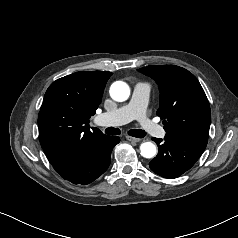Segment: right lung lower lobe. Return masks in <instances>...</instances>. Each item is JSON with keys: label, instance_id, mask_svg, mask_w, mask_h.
Returning <instances> with one entry per match:
<instances>
[{"label": "right lung lower lobe", "instance_id": "98d812e1", "mask_svg": "<svg viewBox=\"0 0 238 238\" xmlns=\"http://www.w3.org/2000/svg\"><path fill=\"white\" fill-rule=\"evenodd\" d=\"M119 141L117 136H95L83 143L69 159L53 167L62 178L73 184H89L107 170L111 151Z\"/></svg>", "mask_w": 238, "mask_h": 238}]
</instances>
